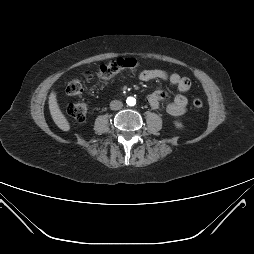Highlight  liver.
Masks as SVG:
<instances>
[{"label":"liver","mask_w":254,"mask_h":254,"mask_svg":"<svg viewBox=\"0 0 254 254\" xmlns=\"http://www.w3.org/2000/svg\"><path fill=\"white\" fill-rule=\"evenodd\" d=\"M49 110L55 124L63 131L70 130V124L64 114L61 112L57 102L56 92L52 91L49 96Z\"/></svg>","instance_id":"6515ba94"}]
</instances>
